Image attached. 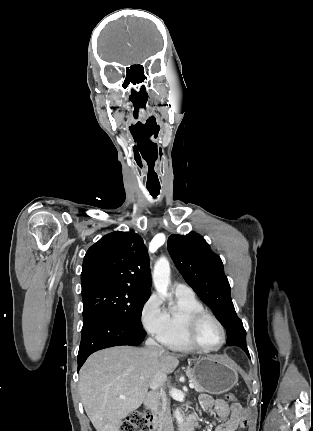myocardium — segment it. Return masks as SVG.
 I'll return each instance as SVG.
<instances>
[{"instance_id":"myocardium-1","label":"myocardium","mask_w":313,"mask_h":431,"mask_svg":"<svg viewBox=\"0 0 313 431\" xmlns=\"http://www.w3.org/2000/svg\"><path fill=\"white\" fill-rule=\"evenodd\" d=\"M209 318L211 320H213L217 326L220 329L221 332V342L219 343L218 346L216 347H205L202 344L199 343V341L197 340L196 337V333L197 330L199 328V325L201 324V322L206 319ZM186 337L188 342L195 348L201 351H205V352H214V351H218L220 350L226 342V331L225 328L223 326V324L221 323V321L211 312L207 311V310H202L199 311L197 313H195L188 322L187 325V329H186Z\"/></svg>"}]
</instances>
